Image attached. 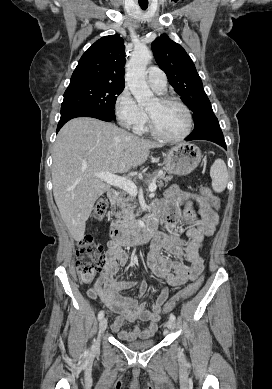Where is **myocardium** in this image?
<instances>
[{
  "label": "myocardium",
  "instance_id": "myocardium-1",
  "mask_svg": "<svg viewBox=\"0 0 272 389\" xmlns=\"http://www.w3.org/2000/svg\"><path fill=\"white\" fill-rule=\"evenodd\" d=\"M157 100L160 104H175V105L181 107L183 109V111L185 112L186 117H187V128L182 134H180L178 136H168V135L162 133L158 129L153 116L148 112L147 114H148L149 128H150L151 133L154 136H156L157 138L164 140V141H167V142H178V141H181V140H184L185 138H187L191 134V132L193 130V125H194L193 116H192V113H191V110L189 109V107L185 103L180 101L179 99L174 98V97H170V96H161Z\"/></svg>",
  "mask_w": 272,
  "mask_h": 389
}]
</instances>
